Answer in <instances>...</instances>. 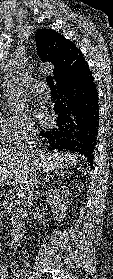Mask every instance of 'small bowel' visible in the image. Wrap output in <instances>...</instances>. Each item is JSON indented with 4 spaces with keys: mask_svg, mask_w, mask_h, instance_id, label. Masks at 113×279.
<instances>
[{
    "mask_svg": "<svg viewBox=\"0 0 113 279\" xmlns=\"http://www.w3.org/2000/svg\"><path fill=\"white\" fill-rule=\"evenodd\" d=\"M0 279H6V271L4 268H1V275H0Z\"/></svg>",
    "mask_w": 113,
    "mask_h": 279,
    "instance_id": "small-bowel-1",
    "label": "small bowel"
}]
</instances>
